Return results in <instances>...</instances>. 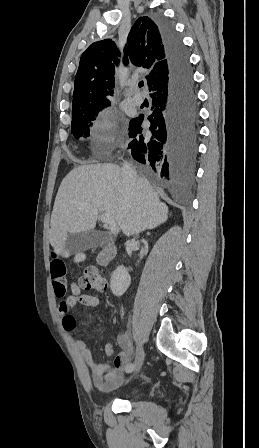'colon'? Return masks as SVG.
Wrapping results in <instances>:
<instances>
[{
  "instance_id": "obj_1",
  "label": "colon",
  "mask_w": 259,
  "mask_h": 448,
  "mask_svg": "<svg viewBox=\"0 0 259 448\" xmlns=\"http://www.w3.org/2000/svg\"><path fill=\"white\" fill-rule=\"evenodd\" d=\"M79 285L85 290L103 292L107 288V281L98 268L89 267L80 278Z\"/></svg>"
}]
</instances>
